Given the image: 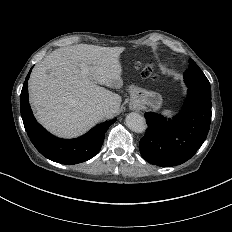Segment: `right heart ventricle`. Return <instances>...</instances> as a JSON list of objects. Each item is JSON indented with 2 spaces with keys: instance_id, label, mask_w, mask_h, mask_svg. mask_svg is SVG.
<instances>
[{
  "instance_id": "right-heart-ventricle-1",
  "label": "right heart ventricle",
  "mask_w": 232,
  "mask_h": 232,
  "mask_svg": "<svg viewBox=\"0 0 232 232\" xmlns=\"http://www.w3.org/2000/svg\"><path fill=\"white\" fill-rule=\"evenodd\" d=\"M167 66H168L167 62L162 63L161 64V70H165Z\"/></svg>"
}]
</instances>
